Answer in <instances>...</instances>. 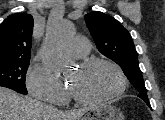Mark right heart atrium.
<instances>
[{
  "label": "right heart atrium",
  "instance_id": "d8ad5b80",
  "mask_svg": "<svg viewBox=\"0 0 165 120\" xmlns=\"http://www.w3.org/2000/svg\"><path fill=\"white\" fill-rule=\"evenodd\" d=\"M26 85L34 98L45 102L62 104L68 98L67 88L57 81L46 68L38 64L30 67Z\"/></svg>",
  "mask_w": 165,
  "mask_h": 120
}]
</instances>
